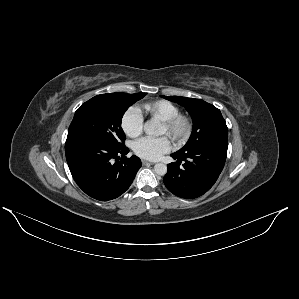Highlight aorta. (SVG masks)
<instances>
[{
	"mask_svg": "<svg viewBox=\"0 0 299 299\" xmlns=\"http://www.w3.org/2000/svg\"><path fill=\"white\" fill-rule=\"evenodd\" d=\"M144 131L147 135H161L160 125L153 121H147L144 124ZM154 171L157 175L164 176L167 173V166L163 163H157L154 166Z\"/></svg>",
	"mask_w": 299,
	"mask_h": 299,
	"instance_id": "obj_1",
	"label": "aorta"
}]
</instances>
